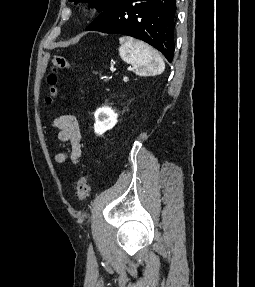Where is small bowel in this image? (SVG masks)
Wrapping results in <instances>:
<instances>
[{"label": "small bowel", "instance_id": "1", "mask_svg": "<svg viewBox=\"0 0 255 287\" xmlns=\"http://www.w3.org/2000/svg\"><path fill=\"white\" fill-rule=\"evenodd\" d=\"M57 129V139L62 143H69V151H60L55 155V161L59 164L70 159L73 163H78L81 158V130L80 124L74 115H62L54 121Z\"/></svg>", "mask_w": 255, "mask_h": 287}]
</instances>
